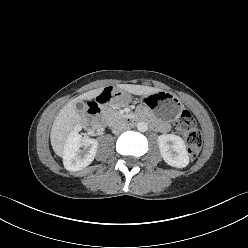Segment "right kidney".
Segmentation results:
<instances>
[{
	"label": "right kidney",
	"mask_w": 248,
	"mask_h": 248,
	"mask_svg": "<svg viewBox=\"0 0 248 248\" xmlns=\"http://www.w3.org/2000/svg\"><path fill=\"white\" fill-rule=\"evenodd\" d=\"M77 125L69 134L63 155L64 167L71 172L79 171L92 163L96 156L98 142L91 138H82ZM83 147V149H81Z\"/></svg>",
	"instance_id": "obj_1"
}]
</instances>
